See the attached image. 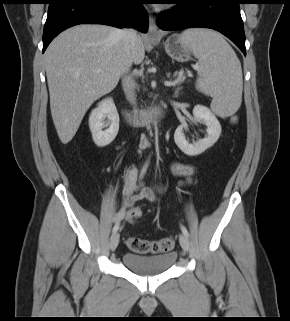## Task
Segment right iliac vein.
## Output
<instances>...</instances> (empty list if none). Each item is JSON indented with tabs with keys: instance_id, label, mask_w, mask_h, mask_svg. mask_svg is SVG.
Returning a JSON list of instances; mask_svg holds the SVG:
<instances>
[{
	"instance_id": "1",
	"label": "right iliac vein",
	"mask_w": 290,
	"mask_h": 321,
	"mask_svg": "<svg viewBox=\"0 0 290 321\" xmlns=\"http://www.w3.org/2000/svg\"><path fill=\"white\" fill-rule=\"evenodd\" d=\"M119 244V234L118 233H114L111 237L110 240V249L113 251L117 248Z\"/></svg>"
}]
</instances>
